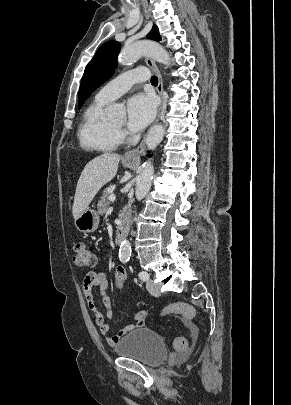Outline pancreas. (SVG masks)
Returning <instances> with one entry per match:
<instances>
[{
  "instance_id": "obj_1",
  "label": "pancreas",
  "mask_w": 291,
  "mask_h": 405,
  "mask_svg": "<svg viewBox=\"0 0 291 405\" xmlns=\"http://www.w3.org/2000/svg\"><path fill=\"white\" fill-rule=\"evenodd\" d=\"M111 194L112 193L109 192V190H105L103 192L102 197L98 202V212H99V214L102 215V214L106 213V211L108 210L109 205H110L109 196Z\"/></svg>"
}]
</instances>
